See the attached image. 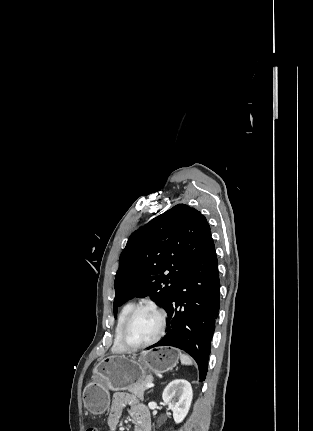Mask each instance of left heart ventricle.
<instances>
[{"instance_id": "b2bd125f", "label": "left heart ventricle", "mask_w": 313, "mask_h": 431, "mask_svg": "<svg viewBox=\"0 0 313 431\" xmlns=\"http://www.w3.org/2000/svg\"><path fill=\"white\" fill-rule=\"evenodd\" d=\"M159 326L157 313L151 309H142L133 318L127 330L126 339L133 345L146 343L157 334Z\"/></svg>"}]
</instances>
